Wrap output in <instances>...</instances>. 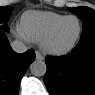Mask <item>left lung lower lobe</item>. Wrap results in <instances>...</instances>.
I'll return each mask as SVG.
<instances>
[{
  "label": "left lung lower lobe",
  "instance_id": "obj_1",
  "mask_svg": "<svg viewBox=\"0 0 95 95\" xmlns=\"http://www.w3.org/2000/svg\"><path fill=\"white\" fill-rule=\"evenodd\" d=\"M50 95H95V34L80 38L72 53L46 58Z\"/></svg>",
  "mask_w": 95,
  "mask_h": 95
}]
</instances>
